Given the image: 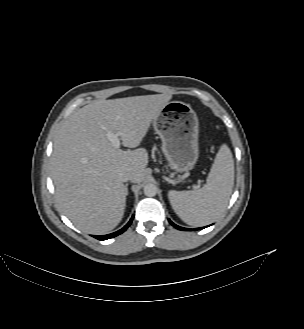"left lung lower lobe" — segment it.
Returning <instances> with one entry per match:
<instances>
[{"label":"left lung lower lobe","instance_id":"obj_1","mask_svg":"<svg viewBox=\"0 0 304 329\" xmlns=\"http://www.w3.org/2000/svg\"><path fill=\"white\" fill-rule=\"evenodd\" d=\"M170 222V224H172L175 228L179 229V230H183V231H189V230H192V229H187V228H183V227H180V226H177L176 224H174L172 221L168 220ZM199 229H202V228H197V229H193V230H199Z\"/></svg>","mask_w":304,"mask_h":329}]
</instances>
